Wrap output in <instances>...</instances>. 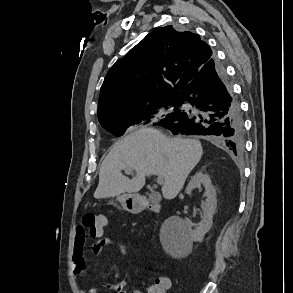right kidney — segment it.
I'll return each mask as SVG.
<instances>
[{
    "instance_id": "right-kidney-1",
    "label": "right kidney",
    "mask_w": 293,
    "mask_h": 293,
    "mask_svg": "<svg viewBox=\"0 0 293 293\" xmlns=\"http://www.w3.org/2000/svg\"><path fill=\"white\" fill-rule=\"evenodd\" d=\"M203 185L205 188L206 200L201 202L203 217L198 227L192 230L189 224L178 217H171L170 221L180 222V226L169 228L166 222L161 229L160 240L164 250L174 255L183 247H190L193 241L201 242L213 225V215L216 212L217 199L216 190L207 174L198 172L195 174L186 187V193L190 195L196 187Z\"/></svg>"
}]
</instances>
